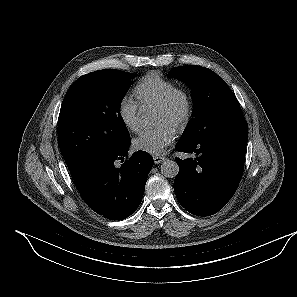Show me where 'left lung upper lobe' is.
I'll use <instances>...</instances> for the list:
<instances>
[{"label":"left lung upper lobe","mask_w":297,"mask_h":297,"mask_svg":"<svg viewBox=\"0 0 297 297\" xmlns=\"http://www.w3.org/2000/svg\"><path fill=\"white\" fill-rule=\"evenodd\" d=\"M185 82L193 98L192 119L180 141L193 142L209 133L244 121L236 96L212 70L201 66L174 67L168 74Z\"/></svg>","instance_id":"5c2ea615"}]
</instances>
